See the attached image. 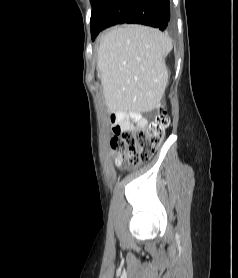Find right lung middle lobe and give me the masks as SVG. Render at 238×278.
Returning <instances> with one entry per match:
<instances>
[{"label": "right lung middle lobe", "mask_w": 238, "mask_h": 278, "mask_svg": "<svg viewBox=\"0 0 238 278\" xmlns=\"http://www.w3.org/2000/svg\"><path fill=\"white\" fill-rule=\"evenodd\" d=\"M97 0H91V4L93 6V4L96 2Z\"/></svg>", "instance_id": "1"}]
</instances>
